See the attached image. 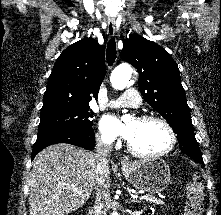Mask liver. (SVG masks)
<instances>
[{
    "label": "liver",
    "instance_id": "liver-1",
    "mask_svg": "<svg viewBox=\"0 0 221 215\" xmlns=\"http://www.w3.org/2000/svg\"><path fill=\"white\" fill-rule=\"evenodd\" d=\"M97 160L94 152L69 144L42 150L28 181L30 215H68L81 208L93 190Z\"/></svg>",
    "mask_w": 221,
    "mask_h": 215
}]
</instances>
